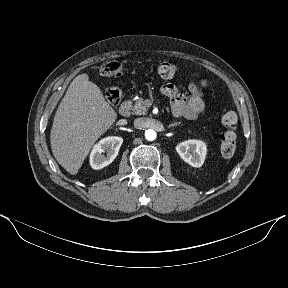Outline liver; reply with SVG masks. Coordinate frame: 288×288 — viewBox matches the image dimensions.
<instances>
[{
    "instance_id": "6515ba94",
    "label": "liver",
    "mask_w": 288,
    "mask_h": 288,
    "mask_svg": "<svg viewBox=\"0 0 288 288\" xmlns=\"http://www.w3.org/2000/svg\"><path fill=\"white\" fill-rule=\"evenodd\" d=\"M117 113L86 73L74 78L54 116L52 153L70 174H77L91 147L115 122Z\"/></svg>"
}]
</instances>
